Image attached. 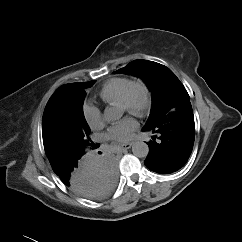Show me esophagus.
I'll return each mask as SVG.
<instances>
[{
    "label": "esophagus",
    "mask_w": 242,
    "mask_h": 242,
    "mask_svg": "<svg viewBox=\"0 0 242 242\" xmlns=\"http://www.w3.org/2000/svg\"><path fill=\"white\" fill-rule=\"evenodd\" d=\"M132 145H133V143H125V144H122V145H121V149H122L123 151H125V150L131 148Z\"/></svg>",
    "instance_id": "obj_1"
}]
</instances>
